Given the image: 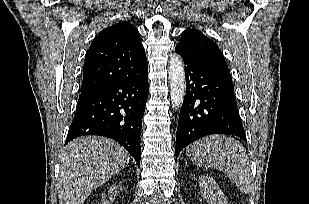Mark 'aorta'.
I'll list each match as a JSON object with an SVG mask.
<instances>
[{
  "mask_svg": "<svg viewBox=\"0 0 309 204\" xmlns=\"http://www.w3.org/2000/svg\"><path fill=\"white\" fill-rule=\"evenodd\" d=\"M169 84L172 107H181L186 93L184 63L179 55H172L169 60Z\"/></svg>",
  "mask_w": 309,
  "mask_h": 204,
  "instance_id": "aorta-1",
  "label": "aorta"
}]
</instances>
